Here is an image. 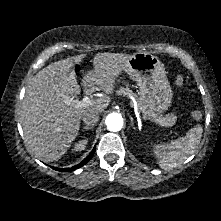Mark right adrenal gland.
<instances>
[{
	"label": "right adrenal gland",
	"mask_w": 221,
	"mask_h": 221,
	"mask_svg": "<svg viewBox=\"0 0 221 221\" xmlns=\"http://www.w3.org/2000/svg\"><path fill=\"white\" fill-rule=\"evenodd\" d=\"M89 129H93V127L92 126H84L82 131L89 130Z\"/></svg>",
	"instance_id": "obj_1"
}]
</instances>
